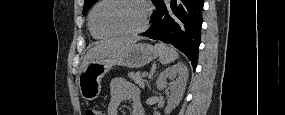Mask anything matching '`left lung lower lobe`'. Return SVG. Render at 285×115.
<instances>
[{"label": "left lung lower lobe", "instance_id": "left-lung-lower-lobe-1", "mask_svg": "<svg viewBox=\"0 0 285 115\" xmlns=\"http://www.w3.org/2000/svg\"><path fill=\"white\" fill-rule=\"evenodd\" d=\"M156 10L152 25L140 35L172 44L191 61L198 62L202 26V0H152Z\"/></svg>", "mask_w": 285, "mask_h": 115}]
</instances>
